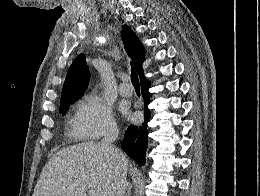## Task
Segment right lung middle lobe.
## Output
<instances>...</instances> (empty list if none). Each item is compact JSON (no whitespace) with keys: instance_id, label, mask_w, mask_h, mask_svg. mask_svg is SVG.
I'll use <instances>...</instances> for the list:
<instances>
[{"instance_id":"1","label":"right lung middle lobe","mask_w":260,"mask_h":196,"mask_svg":"<svg viewBox=\"0 0 260 196\" xmlns=\"http://www.w3.org/2000/svg\"><path fill=\"white\" fill-rule=\"evenodd\" d=\"M71 104H72V103H71ZM69 105H70V104H69ZM69 105H67L66 107L60 109V112H62L63 115H64L65 112L68 110Z\"/></svg>"}]
</instances>
